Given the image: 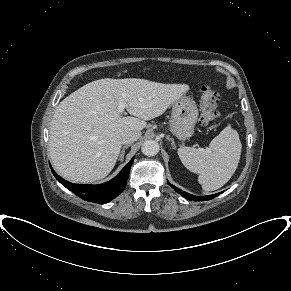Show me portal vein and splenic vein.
Here are the masks:
<instances>
[{
  "label": "portal vein and splenic vein",
  "instance_id": "18ae733b",
  "mask_svg": "<svg viewBox=\"0 0 291 291\" xmlns=\"http://www.w3.org/2000/svg\"><path fill=\"white\" fill-rule=\"evenodd\" d=\"M125 107H126V104H124V103L120 104L119 105V112L122 113L124 111Z\"/></svg>",
  "mask_w": 291,
  "mask_h": 291
}]
</instances>
